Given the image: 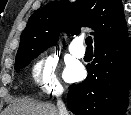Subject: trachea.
Here are the masks:
<instances>
[{"mask_svg":"<svg viewBox=\"0 0 131 115\" xmlns=\"http://www.w3.org/2000/svg\"><path fill=\"white\" fill-rule=\"evenodd\" d=\"M85 43L87 45V49H93V47H92V37L91 36L86 38Z\"/></svg>","mask_w":131,"mask_h":115,"instance_id":"obj_1","label":"trachea"}]
</instances>
